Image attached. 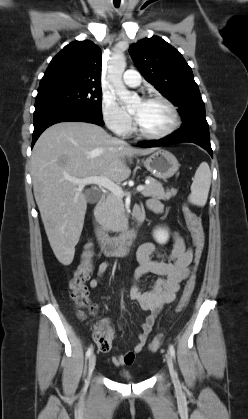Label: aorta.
<instances>
[{
	"instance_id": "1",
	"label": "aorta",
	"mask_w": 248,
	"mask_h": 419,
	"mask_svg": "<svg viewBox=\"0 0 248 419\" xmlns=\"http://www.w3.org/2000/svg\"><path fill=\"white\" fill-rule=\"evenodd\" d=\"M126 68V58L124 54H114L108 63V78L112 84L113 91L119 98L131 108L139 103L140 98L138 95H132L122 81V74Z\"/></svg>"
}]
</instances>
